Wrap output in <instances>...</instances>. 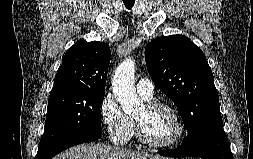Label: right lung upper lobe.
Segmentation results:
<instances>
[{"label": "right lung upper lobe", "instance_id": "1", "mask_svg": "<svg viewBox=\"0 0 253 159\" xmlns=\"http://www.w3.org/2000/svg\"><path fill=\"white\" fill-rule=\"evenodd\" d=\"M111 51L105 42H76L65 54L51 97L81 92H105Z\"/></svg>", "mask_w": 253, "mask_h": 159}]
</instances>
